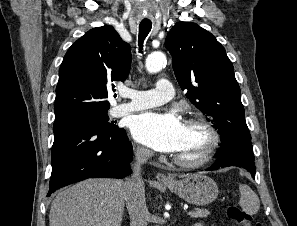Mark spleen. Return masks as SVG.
<instances>
[{"label":"spleen","mask_w":297,"mask_h":226,"mask_svg":"<svg viewBox=\"0 0 297 226\" xmlns=\"http://www.w3.org/2000/svg\"><path fill=\"white\" fill-rule=\"evenodd\" d=\"M239 191V204L242 210L249 215L256 214L260 208V200L258 195L246 184H240Z\"/></svg>","instance_id":"spleen-1"}]
</instances>
